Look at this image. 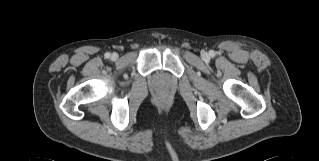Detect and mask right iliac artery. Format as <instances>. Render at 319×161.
Returning a JSON list of instances; mask_svg holds the SVG:
<instances>
[{"mask_svg":"<svg viewBox=\"0 0 319 161\" xmlns=\"http://www.w3.org/2000/svg\"><path fill=\"white\" fill-rule=\"evenodd\" d=\"M110 55H111V54H110L109 52H106V53H105V58H107V59L110 58Z\"/></svg>","mask_w":319,"mask_h":161,"instance_id":"obj_1","label":"right iliac artery"}]
</instances>
